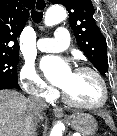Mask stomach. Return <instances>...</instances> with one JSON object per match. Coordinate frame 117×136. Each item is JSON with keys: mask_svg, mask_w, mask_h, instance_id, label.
Returning <instances> with one entry per match:
<instances>
[{"mask_svg": "<svg viewBox=\"0 0 117 136\" xmlns=\"http://www.w3.org/2000/svg\"><path fill=\"white\" fill-rule=\"evenodd\" d=\"M71 127L82 136H90L97 130V122L92 115L78 113L71 117Z\"/></svg>", "mask_w": 117, "mask_h": 136, "instance_id": "obj_1", "label": "stomach"}]
</instances>
